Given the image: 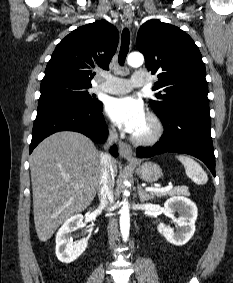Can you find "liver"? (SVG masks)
<instances>
[{
    "mask_svg": "<svg viewBox=\"0 0 233 283\" xmlns=\"http://www.w3.org/2000/svg\"><path fill=\"white\" fill-rule=\"evenodd\" d=\"M101 155L89 138L72 131L57 132L34 149L30 157L33 212L41 242L91 204L100 186ZM112 165L115 178V159Z\"/></svg>",
    "mask_w": 233,
    "mask_h": 283,
    "instance_id": "liver-1",
    "label": "liver"
}]
</instances>
